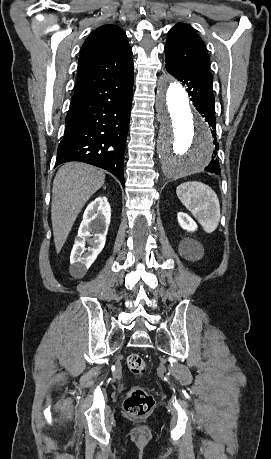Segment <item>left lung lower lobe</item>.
I'll use <instances>...</instances> for the list:
<instances>
[{
	"label": "left lung lower lobe",
	"instance_id": "obj_1",
	"mask_svg": "<svg viewBox=\"0 0 271 459\" xmlns=\"http://www.w3.org/2000/svg\"><path fill=\"white\" fill-rule=\"evenodd\" d=\"M166 70L168 73L173 75L178 79L182 84L187 86L186 91L189 96H191V101H193L194 106L205 118V121L211 127L212 136L214 138L215 151L213 152L211 162L204 169L205 171L219 174L221 172L217 150L218 143L216 140V130H215V104H214V95L212 90V74L210 72L195 73L187 72L182 70H176L166 65Z\"/></svg>",
	"mask_w": 271,
	"mask_h": 459
}]
</instances>
